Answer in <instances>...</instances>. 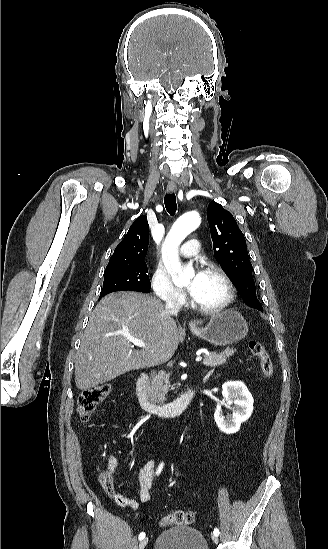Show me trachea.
<instances>
[{
	"label": "trachea",
	"instance_id": "trachea-1",
	"mask_svg": "<svg viewBox=\"0 0 328 549\" xmlns=\"http://www.w3.org/2000/svg\"><path fill=\"white\" fill-rule=\"evenodd\" d=\"M164 204L167 212L170 215H175L177 210L176 196L175 194H166L164 198Z\"/></svg>",
	"mask_w": 328,
	"mask_h": 549
}]
</instances>
